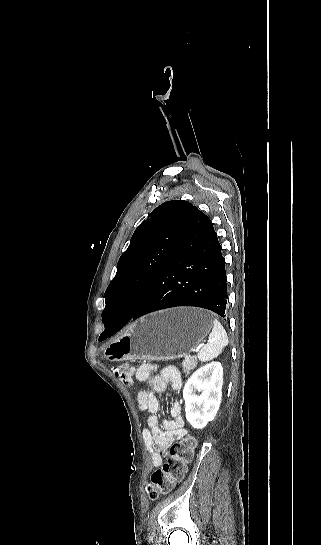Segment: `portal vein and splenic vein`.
<instances>
[{
    "label": "portal vein and splenic vein",
    "mask_w": 321,
    "mask_h": 545,
    "mask_svg": "<svg viewBox=\"0 0 321 545\" xmlns=\"http://www.w3.org/2000/svg\"><path fill=\"white\" fill-rule=\"evenodd\" d=\"M207 345V340L206 339H201L199 342H198V345L196 347V349L193 351L195 354L198 352H201V350Z\"/></svg>",
    "instance_id": "portal-vein-and-splenic-vein-1"
}]
</instances>
